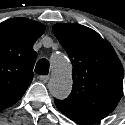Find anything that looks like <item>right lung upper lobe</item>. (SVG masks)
Masks as SVG:
<instances>
[{
  "label": "right lung upper lobe",
  "instance_id": "right-lung-upper-lobe-1",
  "mask_svg": "<svg viewBox=\"0 0 125 125\" xmlns=\"http://www.w3.org/2000/svg\"><path fill=\"white\" fill-rule=\"evenodd\" d=\"M37 21L16 17L0 23V110L21 99L33 79V44L44 33Z\"/></svg>",
  "mask_w": 125,
  "mask_h": 125
}]
</instances>
